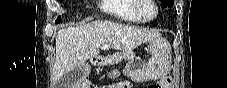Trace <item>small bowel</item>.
Segmentation results:
<instances>
[{
    "instance_id": "obj_1",
    "label": "small bowel",
    "mask_w": 227,
    "mask_h": 88,
    "mask_svg": "<svg viewBox=\"0 0 227 88\" xmlns=\"http://www.w3.org/2000/svg\"><path fill=\"white\" fill-rule=\"evenodd\" d=\"M160 85H162L163 88H168L171 85V79L170 78H163L160 82ZM117 88H129L130 84L126 81L120 82L116 85Z\"/></svg>"
}]
</instances>
